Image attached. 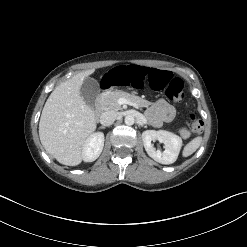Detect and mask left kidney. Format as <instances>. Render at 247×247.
Returning a JSON list of instances; mask_svg holds the SVG:
<instances>
[{
	"label": "left kidney",
	"instance_id": "1",
	"mask_svg": "<svg viewBox=\"0 0 247 247\" xmlns=\"http://www.w3.org/2000/svg\"><path fill=\"white\" fill-rule=\"evenodd\" d=\"M142 140L147 154L161 164L174 163L182 147V139L165 130H146L142 133ZM154 140L164 144L165 150L163 152L153 147L152 141Z\"/></svg>",
	"mask_w": 247,
	"mask_h": 247
}]
</instances>
